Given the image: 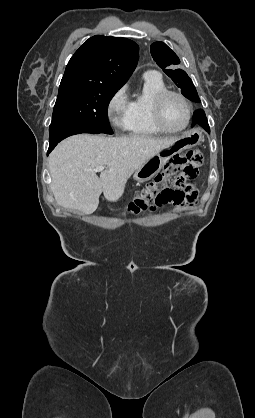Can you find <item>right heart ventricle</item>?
<instances>
[{
	"label": "right heart ventricle",
	"instance_id": "e07e8e85",
	"mask_svg": "<svg viewBox=\"0 0 255 418\" xmlns=\"http://www.w3.org/2000/svg\"><path fill=\"white\" fill-rule=\"evenodd\" d=\"M166 85L160 77L144 78L143 88L130 105V116L127 130L135 136H152L162 131L155 125L152 117V102Z\"/></svg>",
	"mask_w": 255,
	"mask_h": 418
}]
</instances>
